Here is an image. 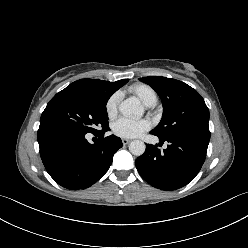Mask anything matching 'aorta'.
<instances>
[{
  "mask_svg": "<svg viewBox=\"0 0 248 248\" xmlns=\"http://www.w3.org/2000/svg\"><path fill=\"white\" fill-rule=\"evenodd\" d=\"M119 111L126 117L141 116L143 114V108L140 101L134 97L127 98L119 105ZM146 149V145L143 141L133 140L129 144V151L135 156H141Z\"/></svg>",
  "mask_w": 248,
  "mask_h": 248,
  "instance_id": "762f6f07",
  "label": "aorta"
}]
</instances>
